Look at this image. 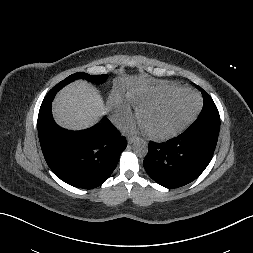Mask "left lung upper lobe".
I'll return each mask as SVG.
<instances>
[{
    "mask_svg": "<svg viewBox=\"0 0 253 253\" xmlns=\"http://www.w3.org/2000/svg\"><path fill=\"white\" fill-rule=\"evenodd\" d=\"M198 88L201 90V93L204 99L203 109L199 117H203V116L219 117L218 109L214 101L212 100V98L202 88H200L199 86Z\"/></svg>",
    "mask_w": 253,
    "mask_h": 253,
    "instance_id": "1",
    "label": "left lung upper lobe"
}]
</instances>
